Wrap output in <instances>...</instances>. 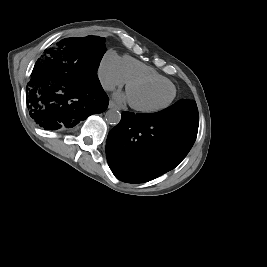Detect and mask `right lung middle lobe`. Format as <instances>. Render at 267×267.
<instances>
[{
    "mask_svg": "<svg viewBox=\"0 0 267 267\" xmlns=\"http://www.w3.org/2000/svg\"><path fill=\"white\" fill-rule=\"evenodd\" d=\"M59 44L72 49L78 57L86 61L88 69L93 70L98 69L100 61L106 52L105 38L99 36L66 38Z\"/></svg>",
    "mask_w": 267,
    "mask_h": 267,
    "instance_id": "obj_1",
    "label": "right lung middle lobe"
}]
</instances>
